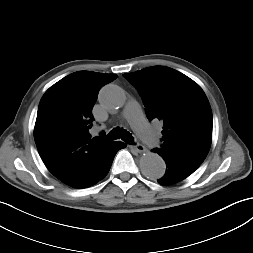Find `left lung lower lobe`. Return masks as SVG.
<instances>
[{"mask_svg":"<svg viewBox=\"0 0 253 253\" xmlns=\"http://www.w3.org/2000/svg\"><path fill=\"white\" fill-rule=\"evenodd\" d=\"M153 151L157 152L166 162V173L162 178L157 180L162 185L174 184L185 179L203 162L196 158L176 155L157 149H153Z\"/></svg>","mask_w":253,"mask_h":253,"instance_id":"0a47b994","label":"left lung lower lobe"}]
</instances>
